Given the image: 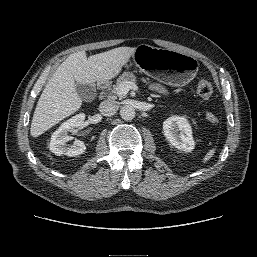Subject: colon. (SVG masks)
<instances>
[{"label": "colon", "mask_w": 257, "mask_h": 257, "mask_svg": "<svg viewBox=\"0 0 257 257\" xmlns=\"http://www.w3.org/2000/svg\"><path fill=\"white\" fill-rule=\"evenodd\" d=\"M196 91L201 100L207 101L212 96L213 87L210 82L201 80L197 84ZM206 119L211 124H216L218 122V117L212 112L206 114Z\"/></svg>", "instance_id": "colon-1"}]
</instances>
